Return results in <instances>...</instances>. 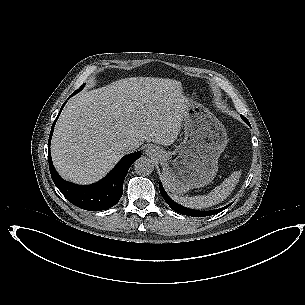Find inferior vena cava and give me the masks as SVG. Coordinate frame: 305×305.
<instances>
[{"label":"inferior vena cava","instance_id":"inferior-vena-cava-1","mask_svg":"<svg viewBox=\"0 0 305 305\" xmlns=\"http://www.w3.org/2000/svg\"><path fill=\"white\" fill-rule=\"evenodd\" d=\"M140 144L136 141H127L124 143V149L129 152H134L139 148Z\"/></svg>","mask_w":305,"mask_h":305}]
</instances>
